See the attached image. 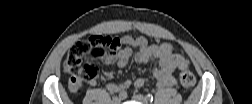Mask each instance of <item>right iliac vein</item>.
Returning a JSON list of instances; mask_svg holds the SVG:
<instances>
[{"label": "right iliac vein", "instance_id": "obj_1", "mask_svg": "<svg viewBox=\"0 0 252 104\" xmlns=\"http://www.w3.org/2000/svg\"><path fill=\"white\" fill-rule=\"evenodd\" d=\"M120 102H121V98H119V97L113 98V104H119Z\"/></svg>", "mask_w": 252, "mask_h": 104}]
</instances>
